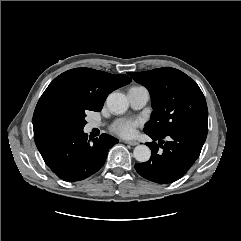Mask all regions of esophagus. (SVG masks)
I'll list each match as a JSON object with an SVG mask.
<instances>
[{"label": "esophagus", "instance_id": "obj_1", "mask_svg": "<svg viewBox=\"0 0 241 241\" xmlns=\"http://www.w3.org/2000/svg\"><path fill=\"white\" fill-rule=\"evenodd\" d=\"M124 142H125L126 144H128V145H131V146H135V145L138 144V142L133 141V140H125Z\"/></svg>", "mask_w": 241, "mask_h": 241}]
</instances>
